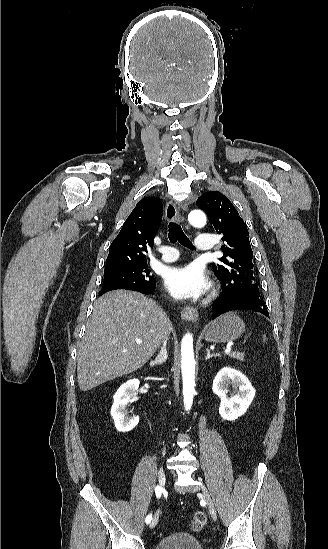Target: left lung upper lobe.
Wrapping results in <instances>:
<instances>
[{"instance_id": "obj_1", "label": "left lung upper lobe", "mask_w": 328, "mask_h": 549, "mask_svg": "<svg viewBox=\"0 0 328 549\" xmlns=\"http://www.w3.org/2000/svg\"><path fill=\"white\" fill-rule=\"evenodd\" d=\"M197 206L208 215L216 232L222 235L224 255L220 264L213 265L221 280L223 292L257 298L261 301L252 263L253 252L248 238L247 225L230 200L218 191L202 194Z\"/></svg>"}]
</instances>
